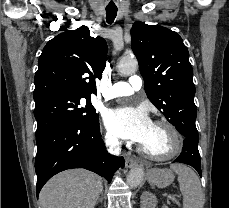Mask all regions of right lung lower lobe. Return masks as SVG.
Masks as SVG:
<instances>
[{
    "instance_id": "right-lung-lower-lobe-1",
    "label": "right lung lower lobe",
    "mask_w": 229,
    "mask_h": 208,
    "mask_svg": "<svg viewBox=\"0 0 229 208\" xmlns=\"http://www.w3.org/2000/svg\"><path fill=\"white\" fill-rule=\"evenodd\" d=\"M37 197L55 174L72 168H85L111 181L113 173L124 166L123 157L107 153L99 123L88 126L76 121H61L36 136Z\"/></svg>"
}]
</instances>
